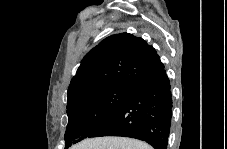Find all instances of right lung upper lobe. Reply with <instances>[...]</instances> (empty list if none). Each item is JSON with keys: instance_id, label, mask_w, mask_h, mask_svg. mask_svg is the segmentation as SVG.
Instances as JSON below:
<instances>
[{"instance_id": "obj_1", "label": "right lung upper lobe", "mask_w": 227, "mask_h": 149, "mask_svg": "<svg viewBox=\"0 0 227 149\" xmlns=\"http://www.w3.org/2000/svg\"><path fill=\"white\" fill-rule=\"evenodd\" d=\"M164 68L145 40L120 33L102 40L81 61L67 92L69 106L86 93L110 84L135 87Z\"/></svg>"}]
</instances>
